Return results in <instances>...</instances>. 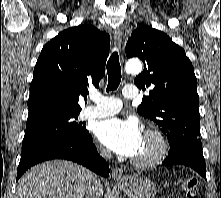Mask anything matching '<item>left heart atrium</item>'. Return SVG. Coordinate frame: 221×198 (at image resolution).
Segmentation results:
<instances>
[{"label":"left heart atrium","mask_w":221,"mask_h":198,"mask_svg":"<svg viewBox=\"0 0 221 198\" xmlns=\"http://www.w3.org/2000/svg\"><path fill=\"white\" fill-rule=\"evenodd\" d=\"M95 134L98 140L117 154L132 157L139 149L143 135L138 122L118 117L101 121Z\"/></svg>","instance_id":"39dd6f15"}]
</instances>
